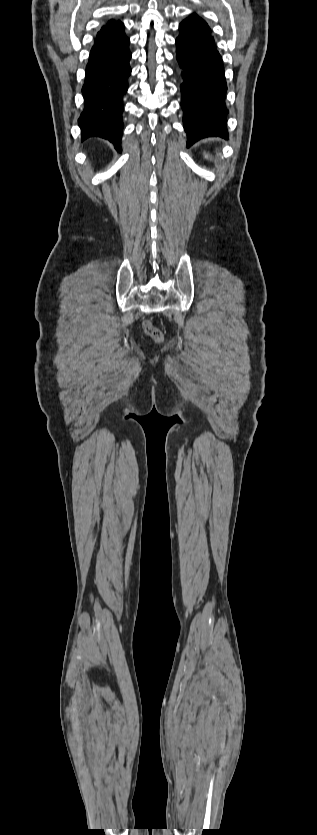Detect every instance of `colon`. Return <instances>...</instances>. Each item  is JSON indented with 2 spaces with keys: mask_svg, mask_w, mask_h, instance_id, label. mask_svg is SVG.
<instances>
[{
  "mask_svg": "<svg viewBox=\"0 0 317 835\" xmlns=\"http://www.w3.org/2000/svg\"><path fill=\"white\" fill-rule=\"evenodd\" d=\"M142 326H143V330H144V332H145V333H146V334H147V335H148L151 339H153L155 342H160V341H162V339H163V334H162V332H161V331H160L157 327H155V326L152 324V322H151V321H149V320L144 321Z\"/></svg>",
  "mask_w": 317,
  "mask_h": 835,
  "instance_id": "colon-1",
  "label": "colon"
}]
</instances>
